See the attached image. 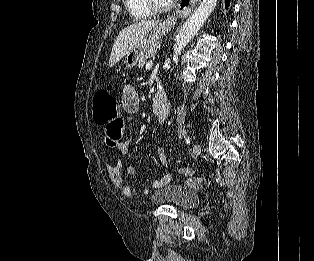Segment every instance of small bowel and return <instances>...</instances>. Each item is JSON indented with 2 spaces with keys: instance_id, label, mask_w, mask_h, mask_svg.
Instances as JSON below:
<instances>
[{
  "instance_id": "1",
  "label": "small bowel",
  "mask_w": 314,
  "mask_h": 261,
  "mask_svg": "<svg viewBox=\"0 0 314 261\" xmlns=\"http://www.w3.org/2000/svg\"><path fill=\"white\" fill-rule=\"evenodd\" d=\"M121 105L125 112L133 114L137 111L139 106V98L136 88L127 83L122 90ZM167 114V113H166ZM166 114L160 119H157L159 123H163L166 119ZM104 133H102V140H105V145L109 151L119 150L122 154H128L130 140H124L125 121L123 116H114L113 120H105L103 125ZM158 158L163 166L167 165L166 152L163 148H159ZM110 180L112 184L121 191V193L127 198H133L138 194L135 193L130 184L124 181V164L121 160H118L115 164L108 165L107 167ZM128 175L134 176L138 173V170L134 166H128L126 168ZM171 174L166 173L162 177L155 179L152 183L153 188H160L167 185L171 181ZM148 189L143 191V194H147Z\"/></svg>"
}]
</instances>
